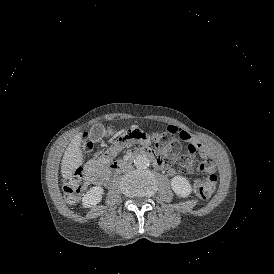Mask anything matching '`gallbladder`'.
Listing matches in <instances>:
<instances>
[{"mask_svg": "<svg viewBox=\"0 0 274 274\" xmlns=\"http://www.w3.org/2000/svg\"><path fill=\"white\" fill-rule=\"evenodd\" d=\"M105 134V128L102 124H94L90 129L89 138L93 141H98Z\"/></svg>", "mask_w": 274, "mask_h": 274, "instance_id": "1", "label": "gallbladder"}]
</instances>
